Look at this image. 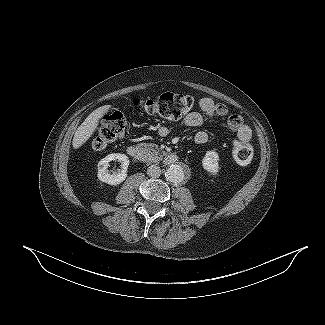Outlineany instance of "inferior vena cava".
Instances as JSON below:
<instances>
[{"instance_id": "inferior-vena-cava-1", "label": "inferior vena cava", "mask_w": 325, "mask_h": 325, "mask_svg": "<svg viewBox=\"0 0 325 325\" xmlns=\"http://www.w3.org/2000/svg\"><path fill=\"white\" fill-rule=\"evenodd\" d=\"M147 174L150 176V177H159L160 174H161V169L159 166L157 165H151L148 167L147 169Z\"/></svg>"}]
</instances>
